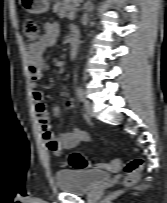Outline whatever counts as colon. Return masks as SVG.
I'll return each instance as SVG.
<instances>
[{"label":"colon","mask_w":167,"mask_h":203,"mask_svg":"<svg viewBox=\"0 0 167 203\" xmlns=\"http://www.w3.org/2000/svg\"><path fill=\"white\" fill-rule=\"evenodd\" d=\"M23 33L25 36V43L27 46H33L40 38V31L37 22L33 19H26L23 23ZM69 164L75 169H84L92 164L79 153H73L69 158ZM64 165V163H63ZM96 168H103L104 163L94 164ZM116 166V165H115ZM143 161L140 158H135L129 161L124 166L125 171V185H132L137 180L142 171Z\"/></svg>","instance_id":"1"}]
</instances>
